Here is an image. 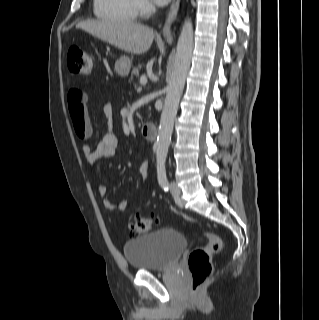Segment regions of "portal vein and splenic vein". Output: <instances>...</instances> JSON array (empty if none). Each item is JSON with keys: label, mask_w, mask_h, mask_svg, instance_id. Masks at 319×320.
<instances>
[{"label": "portal vein and splenic vein", "mask_w": 319, "mask_h": 320, "mask_svg": "<svg viewBox=\"0 0 319 320\" xmlns=\"http://www.w3.org/2000/svg\"><path fill=\"white\" fill-rule=\"evenodd\" d=\"M140 83L142 85H145L147 83V77L146 75H142L141 78H140Z\"/></svg>", "instance_id": "portal-vein-and-splenic-vein-1"}]
</instances>
